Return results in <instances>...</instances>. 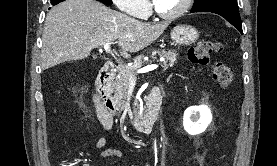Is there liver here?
<instances>
[{
    "mask_svg": "<svg viewBox=\"0 0 277 166\" xmlns=\"http://www.w3.org/2000/svg\"><path fill=\"white\" fill-rule=\"evenodd\" d=\"M168 22L145 23L112 10L96 0H66L47 14L42 35L43 70L82 60L92 49L118 40L120 53L130 58L151 45Z\"/></svg>",
    "mask_w": 277,
    "mask_h": 166,
    "instance_id": "liver-1",
    "label": "liver"
}]
</instances>
